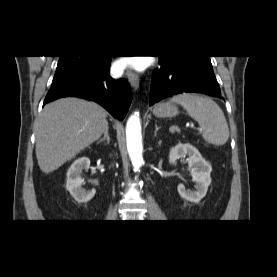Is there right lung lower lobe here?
<instances>
[{
    "label": "right lung lower lobe",
    "mask_w": 277,
    "mask_h": 277,
    "mask_svg": "<svg viewBox=\"0 0 277 277\" xmlns=\"http://www.w3.org/2000/svg\"><path fill=\"white\" fill-rule=\"evenodd\" d=\"M111 58L93 68L52 85L44 104L61 97H80L93 100L107 109L115 118L124 119L132 101L131 88L126 79L113 80L109 75Z\"/></svg>",
    "instance_id": "obj_1"
}]
</instances>
